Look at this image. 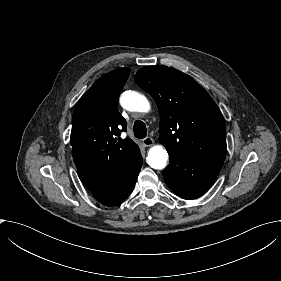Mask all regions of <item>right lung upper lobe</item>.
Segmentation results:
<instances>
[{
  "label": "right lung upper lobe",
  "instance_id": "1",
  "mask_svg": "<svg viewBox=\"0 0 281 281\" xmlns=\"http://www.w3.org/2000/svg\"><path fill=\"white\" fill-rule=\"evenodd\" d=\"M130 73L113 70L97 79L75 106L70 144L82 183L90 190L114 177L139 148L131 139L117 136L126 130L118 112V98Z\"/></svg>",
  "mask_w": 281,
  "mask_h": 281
}]
</instances>
